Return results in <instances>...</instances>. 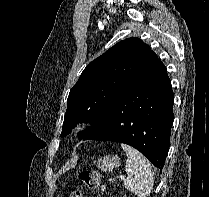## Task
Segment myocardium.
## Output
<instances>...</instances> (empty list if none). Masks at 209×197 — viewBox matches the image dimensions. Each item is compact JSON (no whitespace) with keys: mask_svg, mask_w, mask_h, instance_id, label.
Masks as SVG:
<instances>
[{"mask_svg":"<svg viewBox=\"0 0 209 197\" xmlns=\"http://www.w3.org/2000/svg\"><path fill=\"white\" fill-rule=\"evenodd\" d=\"M88 124L87 121H82L78 124L77 130L83 129Z\"/></svg>","mask_w":209,"mask_h":197,"instance_id":"f54148a6","label":"myocardium"}]
</instances>
